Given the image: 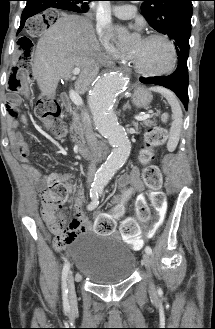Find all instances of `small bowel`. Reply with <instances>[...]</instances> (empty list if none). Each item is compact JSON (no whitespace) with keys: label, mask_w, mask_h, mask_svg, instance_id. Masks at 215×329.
<instances>
[{"label":"small bowel","mask_w":215,"mask_h":329,"mask_svg":"<svg viewBox=\"0 0 215 329\" xmlns=\"http://www.w3.org/2000/svg\"><path fill=\"white\" fill-rule=\"evenodd\" d=\"M8 134L12 141L13 151L16 157L26 166L34 180L48 185L51 177L43 175L30 163V147L24 140L23 134L17 130V122L15 119L8 121ZM55 176L67 182L69 193L74 191L73 185L69 183L70 175L63 174ZM118 186L120 192H117V195L113 199L115 202L112 205L114 209L113 212L95 213V216H99L100 219L111 220H94L93 227L91 221H89L82 212H79L77 217L70 221V224H73L74 228L71 229V237L68 243L73 242L79 234L90 232L92 229L96 236H111L112 232L116 231V227L121 226V221L114 217V214L121 215L123 210H130L132 208V211L129 212L130 218L150 217L151 208L148 206L147 201H145V199H147V187L143 186L136 169H131L129 172L121 174L118 178ZM44 191L45 189L41 187V213L45 223L52 231V226L58 222H64L65 216L63 213L54 210L44 201ZM79 197L82 198L83 195L80 193ZM128 243L134 250H139L144 245V239L139 236L133 240H128ZM64 245H58L57 238L54 240V247L57 250H61Z\"/></svg>","instance_id":"obj_1"}]
</instances>
